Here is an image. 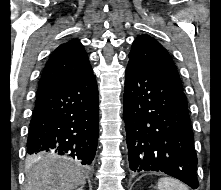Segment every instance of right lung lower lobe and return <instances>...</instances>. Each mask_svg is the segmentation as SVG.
Returning a JSON list of instances; mask_svg holds the SVG:
<instances>
[{"label": "right lung lower lobe", "mask_w": 221, "mask_h": 190, "mask_svg": "<svg viewBox=\"0 0 221 190\" xmlns=\"http://www.w3.org/2000/svg\"><path fill=\"white\" fill-rule=\"evenodd\" d=\"M99 126L98 88L93 74L36 96L27 153L66 155L90 165Z\"/></svg>", "instance_id": "98d812e1"}]
</instances>
